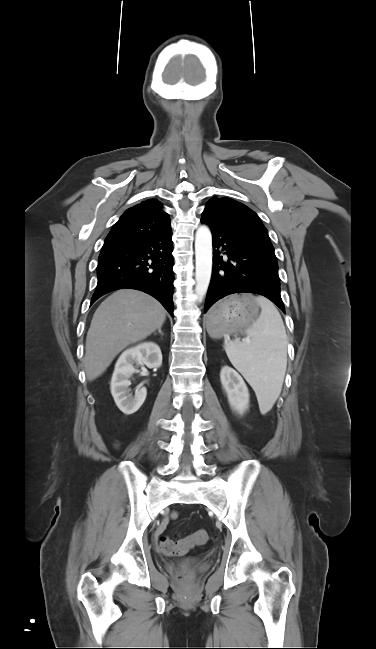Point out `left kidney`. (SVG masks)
I'll list each match as a JSON object with an SVG mask.
<instances>
[{
    "instance_id": "1",
    "label": "left kidney",
    "mask_w": 376,
    "mask_h": 649,
    "mask_svg": "<svg viewBox=\"0 0 376 649\" xmlns=\"http://www.w3.org/2000/svg\"><path fill=\"white\" fill-rule=\"evenodd\" d=\"M220 379L231 408L242 415L249 407V391L243 378L233 368L225 366Z\"/></svg>"
}]
</instances>
